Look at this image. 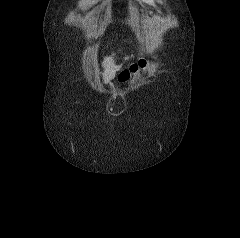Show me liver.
Returning <instances> with one entry per match:
<instances>
[{"label":"liver","instance_id":"obj_1","mask_svg":"<svg viewBox=\"0 0 240 238\" xmlns=\"http://www.w3.org/2000/svg\"><path fill=\"white\" fill-rule=\"evenodd\" d=\"M126 59H128V57ZM102 66L104 68V72L102 75L105 84L114 79L116 72L119 71L121 68V65H116L114 61V54L106 57L102 63Z\"/></svg>","mask_w":240,"mask_h":238}]
</instances>
